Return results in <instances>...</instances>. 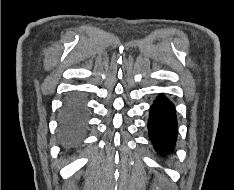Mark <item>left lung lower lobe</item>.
Wrapping results in <instances>:
<instances>
[{
	"label": "left lung lower lobe",
	"mask_w": 234,
	"mask_h": 190,
	"mask_svg": "<svg viewBox=\"0 0 234 190\" xmlns=\"http://www.w3.org/2000/svg\"><path fill=\"white\" fill-rule=\"evenodd\" d=\"M148 129L155 150L161 155L170 154L177 139V118L174 104L164 95L153 101Z\"/></svg>",
	"instance_id": "1"
}]
</instances>
